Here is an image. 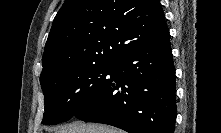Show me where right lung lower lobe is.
<instances>
[{
  "instance_id": "right-lung-lower-lobe-1",
  "label": "right lung lower lobe",
  "mask_w": 221,
  "mask_h": 133,
  "mask_svg": "<svg viewBox=\"0 0 221 133\" xmlns=\"http://www.w3.org/2000/svg\"><path fill=\"white\" fill-rule=\"evenodd\" d=\"M175 68L170 39L118 57L107 79L74 117L129 133H173Z\"/></svg>"
}]
</instances>
